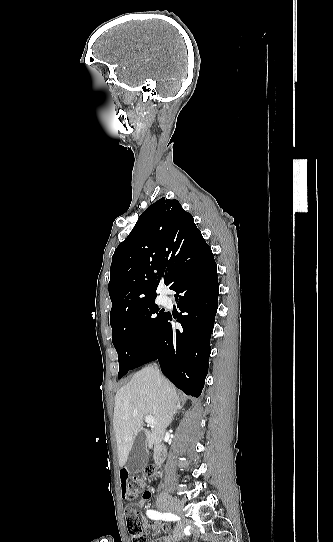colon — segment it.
Returning <instances> with one entry per match:
<instances>
[{
  "label": "colon",
  "instance_id": "1",
  "mask_svg": "<svg viewBox=\"0 0 333 542\" xmlns=\"http://www.w3.org/2000/svg\"><path fill=\"white\" fill-rule=\"evenodd\" d=\"M156 466L149 465L144 469L143 476L129 474V487L126 489V496L124 498L142 499L145 497L146 485L145 481L153 478L156 474ZM124 509L126 513H129L128 518L130 521L128 524L129 531L132 534L133 542H148V537L144 533L140 523L138 522L140 515L138 513L139 506L137 502H126ZM137 521V522H136Z\"/></svg>",
  "mask_w": 333,
  "mask_h": 542
}]
</instances>
